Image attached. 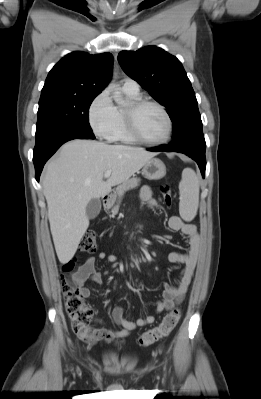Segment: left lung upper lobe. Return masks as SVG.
I'll return each mask as SVG.
<instances>
[{
	"label": "left lung upper lobe",
	"mask_w": 261,
	"mask_h": 399,
	"mask_svg": "<svg viewBox=\"0 0 261 399\" xmlns=\"http://www.w3.org/2000/svg\"><path fill=\"white\" fill-rule=\"evenodd\" d=\"M124 72L163 104L173 123L171 145L205 142L198 103L190 80L173 55L156 46L121 51Z\"/></svg>",
	"instance_id": "1"
}]
</instances>
